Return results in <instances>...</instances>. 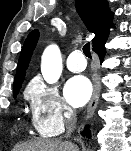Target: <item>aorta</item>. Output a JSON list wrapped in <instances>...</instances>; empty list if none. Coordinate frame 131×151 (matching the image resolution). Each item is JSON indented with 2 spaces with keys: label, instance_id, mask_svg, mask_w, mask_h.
<instances>
[{
  "label": "aorta",
  "instance_id": "aorta-1",
  "mask_svg": "<svg viewBox=\"0 0 131 151\" xmlns=\"http://www.w3.org/2000/svg\"><path fill=\"white\" fill-rule=\"evenodd\" d=\"M41 72L47 83H55L62 73L61 53L56 45L46 48L42 56Z\"/></svg>",
  "mask_w": 131,
  "mask_h": 151
}]
</instances>
